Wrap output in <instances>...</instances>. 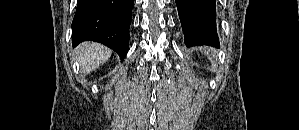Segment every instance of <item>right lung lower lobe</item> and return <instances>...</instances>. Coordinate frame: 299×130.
I'll list each match as a JSON object with an SVG mask.
<instances>
[{"label": "right lung lower lobe", "mask_w": 299, "mask_h": 130, "mask_svg": "<svg viewBox=\"0 0 299 130\" xmlns=\"http://www.w3.org/2000/svg\"><path fill=\"white\" fill-rule=\"evenodd\" d=\"M134 0H78L72 22V43L96 41L113 49L121 60L129 46Z\"/></svg>", "instance_id": "98d812e1"}]
</instances>
